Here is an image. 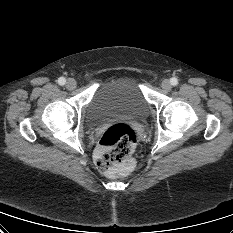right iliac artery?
Returning <instances> with one entry per match:
<instances>
[{
  "instance_id": "1",
  "label": "right iliac artery",
  "mask_w": 233,
  "mask_h": 233,
  "mask_svg": "<svg viewBox=\"0 0 233 233\" xmlns=\"http://www.w3.org/2000/svg\"><path fill=\"white\" fill-rule=\"evenodd\" d=\"M65 83H66V79L64 77H60L58 79V84L59 85L63 86V85H65Z\"/></svg>"
}]
</instances>
